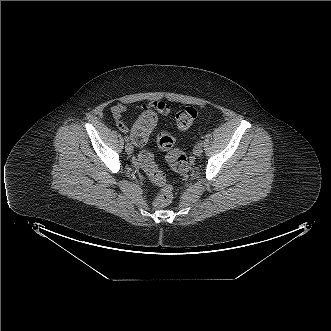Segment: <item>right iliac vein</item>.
Returning a JSON list of instances; mask_svg holds the SVG:
<instances>
[{
	"label": "right iliac vein",
	"mask_w": 331,
	"mask_h": 331,
	"mask_svg": "<svg viewBox=\"0 0 331 331\" xmlns=\"http://www.w3.org/2000/svg\"><path fill=\"white\" fill-rule=\"evenodd\" d=\"M125 151L128 154H132V152H133V146L130 143H127L126 146H125Z\"/></svg>",
	"instance_id": "1"
}]
</instances>
